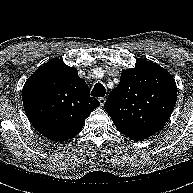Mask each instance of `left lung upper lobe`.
<instances>
[{
	"label": "left lung upper lobe",
	"mask_w": 193,
	"mask_h": 193,
	"mask_svg": "<svg viewBox=\"0 0 193 193\" xmlns=\"http://www.w3.org/2000/svg\"><path fill=\"white\" fill-rule=\"evenodd\" d=\"M176 99L172 75L156 63L139 59L135 68L122 71L104 109L118 131L132 140H143L165 125Z\"/></svg>",
	"instance_id": "left-lung-upper-lobe-1"
}]
</instances>
